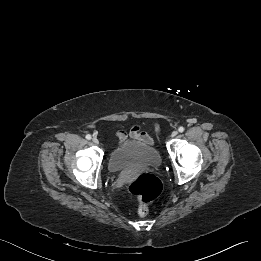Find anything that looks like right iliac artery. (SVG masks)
<instances>
[{
    "mask_svg": "<svg viewBox=\"0 0 261 261\" xmlns=\"http://www.w3.org/2000/svg\"><path fill=\"white\" fill-rule=\"evenodd\" d=\"M85 138H86L87 140H90V139H91V135H90V134H87V135L85 136Z\"/></svg>",
    "mask_w": 261,
    "mask_h": 261,
    "instance_id": "82829eb1",
    "label": "right iliac artery"
}]
</instances>
